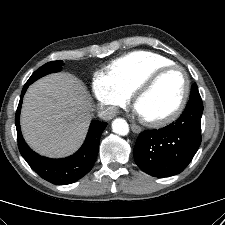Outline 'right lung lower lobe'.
<instances>
[{"label": "right lung lower lobe", "mask_w": 225, "mask_h": 225, "mask_svg": "<svg viewBox=\"0 0 225 225\" xmlns=\"http://www.w3.org/2000/svg\"><path fill=\"white\" fill-rule=\"evenodd\" d=\"M30 84L26 82L24 85L16 111L15 124L19 151L30 167L43 179L56 185L73 183L91 170L98 154L101 134L107 123L92 121L84 144L70 157L50 159L38 155L25 143L19 124L22 98Z\"/></svg>", "instance_id": "obj_1"}]
</instances>
